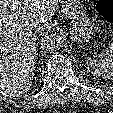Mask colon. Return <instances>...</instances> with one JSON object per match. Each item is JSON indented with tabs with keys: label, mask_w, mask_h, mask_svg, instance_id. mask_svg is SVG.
Segmentation results:
<instances>
[{
	"label": "colon",
	"mask_w": 113,
	"mask_h": 113,
	"mask_svg": "<svg viewBox=\"0 0 113 113\" xmlns=\"http://www.w3.org/2000/svg\"><path fill=\"white\" fill-rule=\"evenodd\" d=\"M96 8L104 20L113 22V0H98Z\"/></svg>",
	"instance_id": "colon-1"
}]
</instances>
